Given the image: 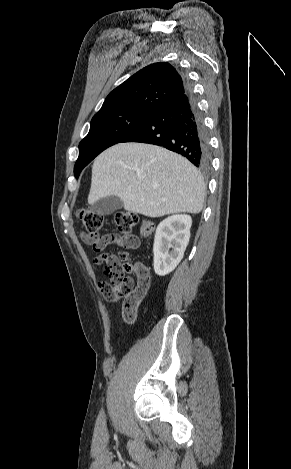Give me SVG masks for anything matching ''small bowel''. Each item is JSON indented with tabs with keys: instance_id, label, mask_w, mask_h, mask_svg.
<instances>
[{
	"instance_id": "1",
	"label": "small bowel",
	"mask_w": 291,
	"mask_h": 469,
	"mask_svg": "<svg viewBox=\"0 0 291 469\" xmlns=\"http://www.w3.org/2000/svg\"><path fill=\"white\" fill-rule=\"evenodd\" d=\"M81 236H82V239H83L84 242H86V243H91L90 240H89V238L86 236L85 233H83ZM132 239H133L134 243H133L132 246H130V248H136L137 245H138V240H137V238L134 237V236H132ZM92 248H93V250H94L95 252L99 253L94 247H92ZM102 256H103L104 258H107V259H115V258H116L114 255L109 254V253H104ZM101 283H103V282H99V285H101ZM149 284H150V280H149V275H148V273H147L146 278H144V279L141 278V279L138 280V286L144 288L145 293L147 292V290H148V288H149Z\"/></svg>"
}]
</instances>
